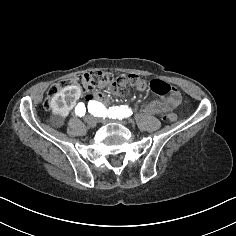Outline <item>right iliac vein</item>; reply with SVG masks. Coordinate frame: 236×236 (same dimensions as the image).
Returning <instances> with one entry per match:
<instances>
[{"mask_svg": "<svg viewBox=\"0 0 236 236\" xmlns=\"http://www.w3.org/2000/svg\"><path fill=\"white\" fill-rule=\"evenodd\" d=\"M85 124L88 126V127H94L96 125V119L93 117V116H88L86 119H85Z\"/></svg>", "mask_w": 236, "mask_h": 236, "instance_id": "obj_1", "label": "right iliac vein"}]
</instances>
